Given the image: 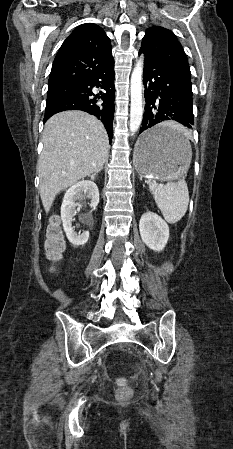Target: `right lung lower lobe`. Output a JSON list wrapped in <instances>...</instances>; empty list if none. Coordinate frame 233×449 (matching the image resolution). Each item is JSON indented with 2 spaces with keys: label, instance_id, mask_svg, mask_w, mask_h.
Segmentation results:
<instances>
[{
  "label": "right lung lower lobe",
  "instance_id": "1",
  "mask_svg": "<svg viewBox=\"0 0 233 449\" xmlns=\"http://www.w3.org/2000/svg\"><path fill=\"white\" fill-rule=\"evenodd\" d=\"M102 87L104 92L95 95L93 87ZM81 93L73 99L59 102L50 107H46L44 123L54 114L66 110H82L95 115L100 119L112 140L113 134V110H114V62L108 65L103 71L89 78L85 82L77 85Z\"/></svg>",
  "mask_w": 233,
  "mask_h": 449
}]
</instances>
